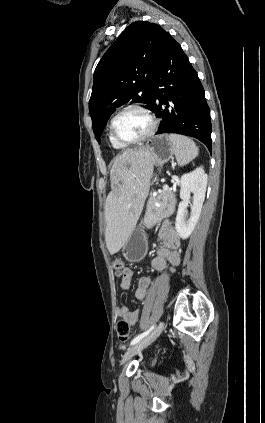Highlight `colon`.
Here are the masks:
<instances>
[{
	"instance_id": "1",
	"label": "colon",
	"mask_w": 265,
	"mask_h": 423,
	"mask_svg": "<svg viewBox=\"0 0 265 423\" xmlns=\"http://www.w3.org/2000/svg\"><path fill=\"white\" fill-rule=\"evenodd\" d=\"M124 267H125L124 262L121 259L117 258L113 261V268L116 271H122ZM116 335H117V338L123 342L127 341L130 338V335H131L130 327L125 320H121L117 323Z\"/></svg>"
}]
</instances>
